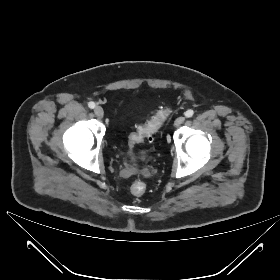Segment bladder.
I'll list each match as a JSON object with an SVG mask.
<instances>
[{"label": "bladder", "mask_w": 280, "mask_h": 280, "mask_svg": "<svg viewBox=\"0 0 280 280\" xmlns=\"http://www.w3.org/2000/svg\"><path fill=\"white\" fill-rule=\"evenodd\" d=\"M147 158H148V154H147L146 152H141V153H140V159H141L142 161H146Z\"/></svg>", "instance_id": "31cf9c89"}]
</instances>
